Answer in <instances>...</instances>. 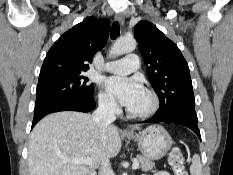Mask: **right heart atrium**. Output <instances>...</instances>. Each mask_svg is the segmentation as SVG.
I'll list each match as a JSON object with an SVG mask.
<instances>
[{
    "mask_svg": "<svg viewBox=\"0 0 233 175\" xmlns=\"http://www.w3.org/2000/svg\"><path fill=\"white\" fill-rule=\"evenodd\" d=\"M98 104L102 110L108 113H116L118 110L115 98L104 90H101L98 94Z\"/></svg>",
    "mask_w": 233,
    "mask_h": 175,
    "instance_id": "right-heart-atrium-1",
    "label": "right heart atrium"
}]
</instances>
